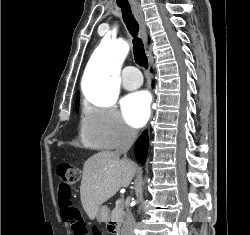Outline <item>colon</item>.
Segmentation results:
<instances>
[{
    "label": "colon",
    "mask_w": 250,
    "mask_h": 235,
    "mask_svg": "<svg viewBox=\"0 0 250 235\" xmlns=\"http://www.w3.org/2000/svg\"><path fill=\"white\" fill-rule=\"evenodd\" d=\"M59 177L58 203L61 206L63 220L69 224L74 235H85L86 228L77 208L71 205V188L79 179L78 169L68 163L62 162L57 167Z\"/></svg>",
    "instance_id": "1"
}]
</instances>
